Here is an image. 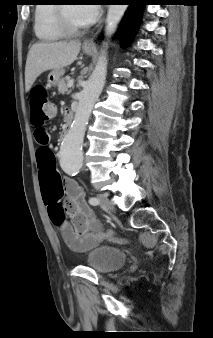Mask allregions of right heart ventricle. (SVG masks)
<instances>
[{
    "instance_id": "right-heart-ventricle-1",
    "label": "right heart ventricle",
    "mask_w": 213,
    "mask_h": 338,
    "mask_svg": "<svg viewBox=\"0 0 213 338\" xmlns=\"http://www.w3.org/2000/svg\"><path fill=\"white\" fill-rule=\"evenodd\" d=\"M34 14V30L38 39L44 42H55L64 37L57 26L56 5L46 0L38 2Z\"/></svg>"
}]
</instances>
